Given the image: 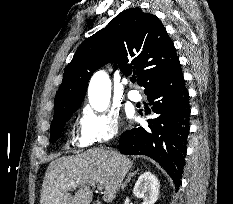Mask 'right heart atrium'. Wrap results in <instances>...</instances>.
<instances>
[{"label":"right heart atrium","instance_id":"1","mask_svg":"<svg viewBox=\"0 0 233 204\" xmlns=\"http://www.w3.org/2000/svg\"><path fill=\"white\" fill-rule=\"evenodd\" d=\"M119 130V119L115 111L99 112L85 107L79 121L76 141L83 148L108 143L118 137Z\"/></svg>","mask_w":233,"mask_h":204}]
</instances>
